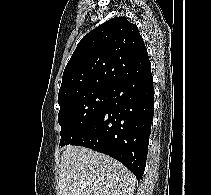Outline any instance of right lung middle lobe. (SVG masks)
Segmentation results:
<instances>
[{
  "mask_svg": "<svg viewBox=\"0 0 211 195\" xmlns=\"http://www.w3.org/2000/svg\"><path fill=\"white\" fill-rule=\"evenodd\" d=\"M110 89H91L59 103L60 145L72 144L99 117L109 102Z\"/></svg>",
  "mask_w": 211,
  "mask_h": 195,
  "instance_id": "obj_1",
  "label": "right lung middle lobe"
}]
</instances>
